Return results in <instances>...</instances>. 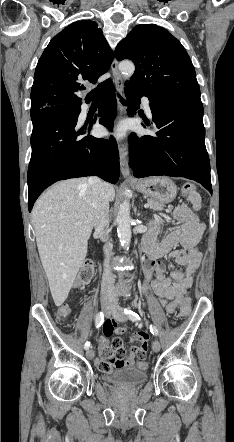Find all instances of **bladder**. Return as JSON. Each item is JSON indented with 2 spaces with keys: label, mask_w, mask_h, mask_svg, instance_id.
Listing matches in <instances>:
<instances>
[{
  "label": "bladder",
  "mask_w": 234,
  "mask_h": 442,
  "mask_svg": "<svg viewBox=\"0 0 234 442\" xmlns=\"http://www.w3.org/2000/svg\"><path fill=\"white\" fill-rule=\"evenodd\" d=\"M148 378L145 368L124 366L105 374L104 379L116 386L134 387L144 383Z\"/></svg>",
  "instance_id": "obj_1"
}]
</instances>
